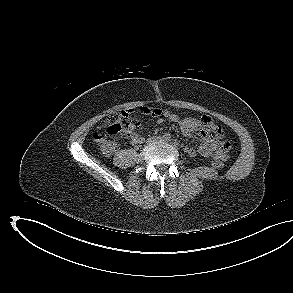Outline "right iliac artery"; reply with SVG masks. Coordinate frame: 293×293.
Wrapping results in <instances>:
<instances>
[{
    "label": "right iliac artery",
    "instance_id": "1",
    "mask_svg": "<svg viewBox=\"0 0 293 293\" xmlns=\"http://www.w3.org/2000/svg\"><path fill=\"white\" fill-rule=\"evenodd\" d=\"M163 138H164L165 140L169 141V140L171 139V136H170L169 133H165V134L163 135Z\"/></svg>",
    "mask_w": 293,
    "mask_h": 293
}]
</instances>
